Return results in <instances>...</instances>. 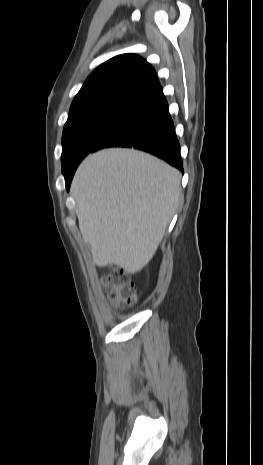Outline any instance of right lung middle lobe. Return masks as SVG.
Segmentation results:
<instances>
[{
    "mask_svg": "<svg viewBox=\"0 0 263 465\" xmlns=\"http://www.w3.org/2000/svg\"><path fill=\"white\" fill-rule=\"evenodd\" d=\"M104 98L70 109L62 135V172L74 171L99 139L137 102Z\"/></svg>",
    "mask_w": 263,
    "mask_h": 465,
    "instance_id": "right-lung-middle-lobe-1",
    "label": "right lung middle lobe"
}]
</instances>
